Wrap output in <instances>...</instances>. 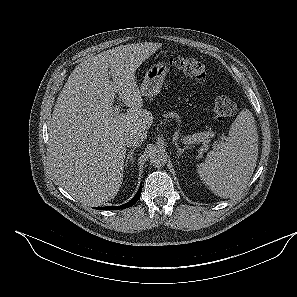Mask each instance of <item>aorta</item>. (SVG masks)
<instances>
[{
    "label": "aorta",
    "instance_id": "obj_1",
    "mask_svg": "<svg viewBox=\"0 0 297 297\" xmlns=\"http://www.w3.org/2000/svg\"><path fill=\"white\" fill-rule=\"evenodd\" d=\"M150 163L154 167H162L167 163V154L162 150H154L150 153Z\"/></svg>",
    "mask_w": 297,
    "mask_h": 297
}]
</instances>
